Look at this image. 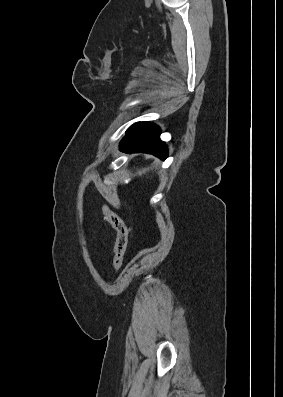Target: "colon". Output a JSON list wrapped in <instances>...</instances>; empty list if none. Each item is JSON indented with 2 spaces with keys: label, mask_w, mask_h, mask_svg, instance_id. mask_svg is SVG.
I'll return each mask as SVG.
<instances>
[{
  "label": "colon",
  "mask_w": 283,
  "mask_h": 397,
  "mask_svg": "<svg viewBox=\"0 0 283 397\" xmlns=\"http://www.w3.org/2000/svg\"><path fill=\"white\" fill-rule=\"evenodd\" d=\"M102 211L105 219L110 223L112 228L116 231L113 269L117 271L121 267L126 253L128 238H129V227L127 226L125 221L107 205L103 206Z\"/></svg>",
  "instance_id": "colon-1"
}]
</instances>
